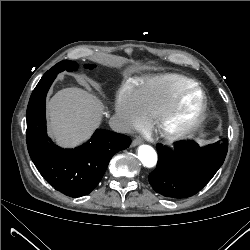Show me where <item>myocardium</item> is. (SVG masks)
Wrapping results in <instances>:
<instances>
[{"mask_svg": "<svg viewBox=\"0 0 250 250\" xmlns=\"http://www.w3.org/2000/svg\"><path fill=\"white\" fill-rule=\"evenodd\" d=\"M191 92L200 95V107L196 115L178 127H170L169 123L177 112L182 100ZM208 110V97L205 90L194 83L181 89L171 100V102L155 118L154 128L157 135L166 142H175L192 135L204 121Z\"/></svg>", "mask_w": 250, "mask_h": 250, "instance_id": "1", "label": "myocardium"}]
</instances>
